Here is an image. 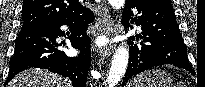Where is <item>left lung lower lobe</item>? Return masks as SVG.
Instances as JSON below:
<instances>
[{"mask_svg": "<svg viewBox=\"0 0 205 87\" xmlns=\"http://www.w3.org/2000/svg\"><path fill=\"white\" fill-rule=\"evenodd\" d=\"M133 9L138 11L135 18H132ZM130 20L141 26L142 33L136 38L144 40L139 45L129 43L130 59L123 83L164 64L192 71L170 0H127L121 23L127 28Z\"/></svg>", "mask_w": 205, "mask_h": 87, "instance_id": "obj_1", "label": "left lung lower lobe"}]
</instances>
